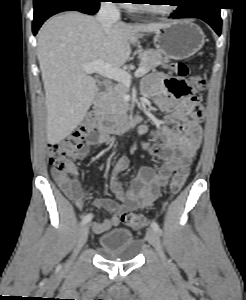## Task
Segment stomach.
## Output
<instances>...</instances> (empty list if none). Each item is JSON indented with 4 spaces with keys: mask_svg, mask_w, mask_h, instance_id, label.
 Masks as SVG:
<instances>
[{
    "mask_svg": "<svg viewBox=\"0 0 246 300\" xmlns=\"http://www.w3.org/2000/svg\"><path fill=\"white\" fill-rule=\"evenodd\" d=\"M153 42L166 58L182 60L203 47L205 35L198 25L187 20H177L155 31Z\"/></svg>",
    "mask_w": 246,
    "mask_h": 300,
    "instance_id": "stomach-1",
    "label": "stomach"
}]
</instances>
